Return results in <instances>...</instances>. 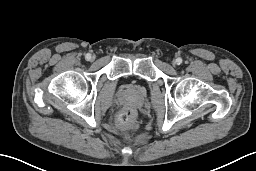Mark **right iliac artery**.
I'll return each instance as SVG.
<instances>
[{
    "instance_id": "right-iliac-artery-1",
    "label": "right iliac artery",
    "mask_w": 256,
    "mask_h": 171,
    "mask_svg": "<svg viewBox=\"0 0 256 171\" xmlns=\"http://www.w3.org/2000/svg\"><path fill=\"white\" fill-rule=\"evenodd\" d=\"M85 58H86L87 60H90L91 55H90V54H86Z\"/></svg>"
}]
</instances>
